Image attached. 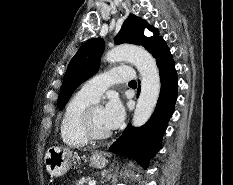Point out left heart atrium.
<instances>
[{
	"mask_svg": "<svg viewBox=\"0 0 233 185\" xmlns=\"http://www.w3.org/2000/svg\"><path fill=\"white\" fill-rule=\"evenodd\" d=\"M102 109L107 128L109 130L117 128L123 121L125 115L121 101L117 97H112Z\"/></svg>",
	"mask_w": 233,
	"mask_h": 185,
	"instance_id": "obj_1",
	"label": "left heart atrium"
}]
</instances>
